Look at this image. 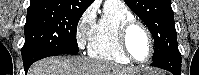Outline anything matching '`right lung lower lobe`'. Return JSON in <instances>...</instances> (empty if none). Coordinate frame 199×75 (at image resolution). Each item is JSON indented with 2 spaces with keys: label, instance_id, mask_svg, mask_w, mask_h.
<instances>
[{
  "label": "right lung lower lobe",
  "instance_id": "right-lung-lower-lobe-1",
  "mask_svg": "<svg viewBox=\"0 0 199 75\" xmlns=\"http://www.w3.org/2000/svg\"><path fill=\"white\" fill-rule=\"evenodd\" d=\"M45 57H48V56H46V54H44L42 50L30 51L26 54H23L22 58H23V65H24L25 72L27 73L31 64H33L35 61L40 60Z\"/></svg>",
  "mask_w": 199,
  "mask_h": 75
}]
</instances>
